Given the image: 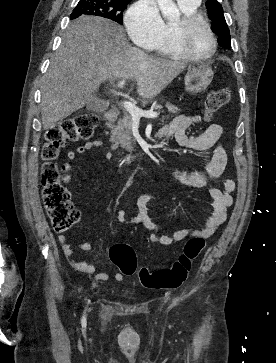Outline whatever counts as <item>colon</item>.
Segmentation results:
<instances>
[{
	"label": "colon",
	"instance_id": "5ec220e1",
	"mask_svg": "<svg viewBox=\"0 0 276 363\" xmlns=\"http://www.w3.org/2000/svg\"><path fill=\"white\" fill-rule=\"evenodd\" d=\"M229 98L230 92L227 88L211 91L204 103L206 115L215 114L228 103ZM97 124L98 116L88 112L66 118L45 132L46 142L42 150L44 164L41 170L42 197L52 229L56 233L66 232L80 218L79 210L71 205L70 192L61 182L62 175L56 162L60 147L66 142L90 138ZM204 245L203 237L191 238L170 268L154 271L146 267L137 269L135 251L127 244L113 245L109 256L122 274L133 275L137 272V278L142 287L171 289L180 286L187 279L192 261L199 255Z\"/></svg>",
	"mask_w": 276,
	"mask_h": 363
}]
</instances>
